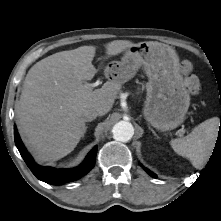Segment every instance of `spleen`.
<instances>
[{
	"mask_svg": "<svg viewBox=\"0 0 221 221\" xmlns=\"http://www.w3.org/2000/svg\"><path fill=\"white\" fill-rule=\"evenodd\" d=\"M218 130L219 119L214 117L194 127L187 136L171 140L170 145L178 155L188 158L195 168L202 169L212 154Z\"/></svg>",
	"mask_w": 221,
	"mask_h": 221,
	"instance_id": "obj_1",
	"label": "spleen"
}]
</instances>
